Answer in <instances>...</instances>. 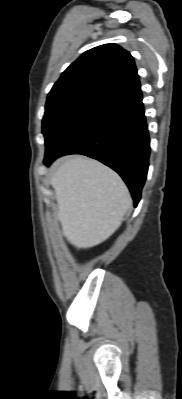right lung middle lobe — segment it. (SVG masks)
<instances>
[{"instance_id":"obj_1","label":"right lung middle lobe","mask_w":182,"mask_h":399,"mask_svg":"<svg viewBox=\"0 0 182 399\" xmlns=\"http://www.w3.org/2000/svg\"><path fill=\"white\" fill-rule=\"evenodd\" d=\"M104 103L105 100L101 98L85 94H71L47 99L42 121L46 150L65 130Z\"/></svg>"}]
</instances>
